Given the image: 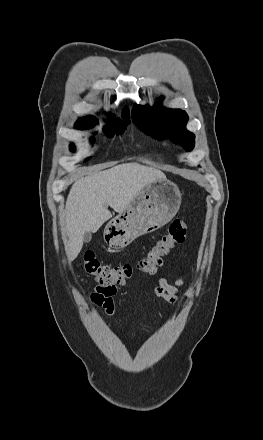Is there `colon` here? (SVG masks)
I'll use <instances>...</instances> for the list:
<instances>
[{"label": "colon", "instance_id": "obj_1", "mask_svg": "<svg viewBox=\"0 0 263 440\" xmlns=\"http://www.w3.org/2000/svg\"><path fill=\"white\" fill-rule=\"evenodd\" d=\"M187 231L186 220L174 219L166 233L135 263L105 264L98 260L93 251H86L83 257L84 270L102 287L116 288L125 285L136 272L154 273L162 265L163 257L184 241Z\"/></svg>", "mask_w": 263, "mask_h": 440}]
</instances>
